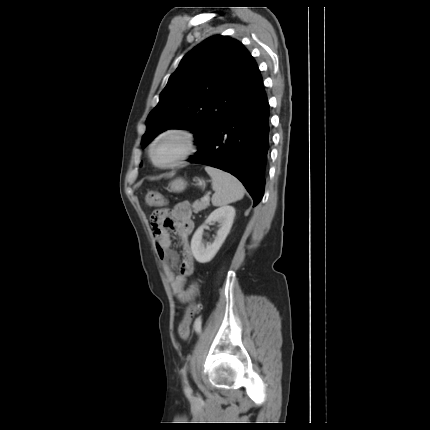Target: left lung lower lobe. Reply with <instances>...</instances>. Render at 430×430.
Segmentation results:
<instances>
[{
	"instance_id": "left-lung-lower-lobe-1",
	"label": "left lung lower lobe",
	"mask_w": 430,
	"mask_h": 430,
	"mask_svg": "<svg viewBox=\"0 0 430 430\" xmlns=\"http://www.w3.org/2000/svg\"><path fill=\"white\" fill-rule=\"evenodd\" d=\"M254 91L228 109L222 119L202 129L199 150L187 160L227 171L245 186L256 206L263 197L269 151V104L260 71Z\"/></svg>"
}]
</instances>
